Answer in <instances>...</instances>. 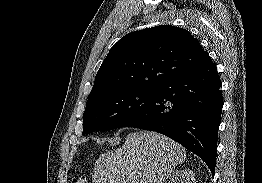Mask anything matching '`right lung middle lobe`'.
<instances>
[{"instance_id":"obj_1","label":"right lung middle lobe","mask_w":262,"mask_h":183,"mask_svg":"<svg viewBox=\"0 0 262 183\" xmlns=\"http://www.w3.org/2000/svg\"><path fill=\"white\" fill-rule=\"evenodd\" d=\"M156 93L157 89L130 88L88 100L82 134L126 126L151 104Z\"/></svg>"}]
</instances>
